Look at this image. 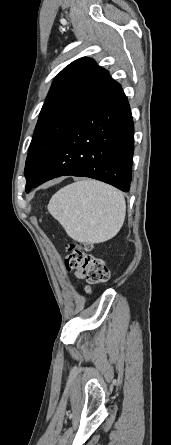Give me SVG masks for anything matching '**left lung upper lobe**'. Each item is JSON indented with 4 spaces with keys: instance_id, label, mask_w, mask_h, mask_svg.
Returning a JSON list of instances; mask_svg holds the SVG:
<instances>
[{
    "instance_id": "left-lung-upper-lobe-1",
    "label": "left lung upper lobe",
    "mask_w": 171,
    "mask_h": 445,
    "mask_svg": "<svg viewBox=\"0 0 171 445\" xmlns=\"http://www.w3.org/2000/svg\"><path fill=\"white\" fill-rule=\"evenodd\" d=\"M120 87L93 59L83 57L66 66L54 79L41 109L26 159V180L35 176L79 119Z\"/></svg>"
}]
</instances>
